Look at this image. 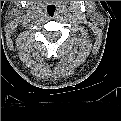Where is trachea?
Listing matches in <instances>:
<instances>
[{
  "mask_svg": "<svg viewBox=\"0 0 121 121\" xmlns=\"http://www.w3.org/2000/svg\"><path fill=\"white\" fill-rule=\"evenodd\" d=\"M47 14L49 17H54L57 14L56 7L54 5H49L47 7Z\"/></svg>",
  "mask_w": 121,
  "mask_h": 121,
  "instance_id": "1",
  "label": "trachea"
}]
</instances>
